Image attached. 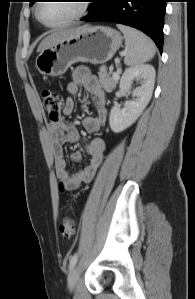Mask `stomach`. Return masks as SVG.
Masks as SVG:
<instances>
[{"label":"stomach","instance_id":"obj_1","mask_svg":"<svg viewBox=\"0 0 195 299\" xmlns=\"http://www.w3.org/2000/svg\"><path fill=\"white\" fill-rule=\"evenodd\" d=\"M122 41V35L111 27H79L71 35L40 52L36 67L41 74L55 77L64 74L77 62L102 64L113 57Z\"/></svg>","mask_w":195,"mask_h":299}]
</instances>
